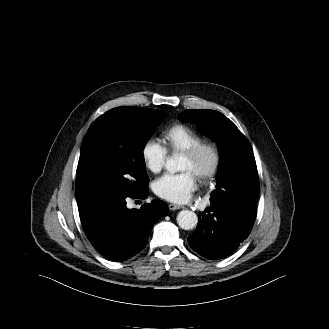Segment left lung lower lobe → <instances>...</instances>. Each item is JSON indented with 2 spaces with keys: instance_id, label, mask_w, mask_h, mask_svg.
Wrapping results in <instances>:
<instances>
[{
  "instance_id": "left-lung-lower-lobe-1",
  "label": "left lung lower lobe",
  "mask_w": 329,
  "mask_h": 329,
  "mask_svg": "<svg viewBox=\"0 0 329 329\" xmlns=\"http://www.w3.org/2000/svg\"><path fill=\"white\" fill-rule=\"evenodd\" d=\"M257 175V168H252L225 199L211 200V206L199 213L197 228L188 237L194 251L207 259H221L248 237L257 214Z\"/></svg>"
}]
</instances>
